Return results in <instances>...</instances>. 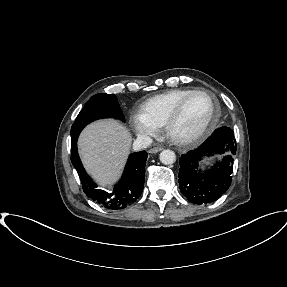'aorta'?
I'll use <instances>...</instances> for the list:
<instances>
[{
	"instance_id": "aorta-1",
	"label": "aorta",
	"mask_w": 287,
	"mask_h": 287,
	"mask_svg": "<svg viewBox=\"0 0 287 287\" xmlns=\"http://www.w3.org/2000/svg\"><path fill=\"white\" fill-rule=\"evenodd\" d=\"M160 161L164 165H171L176 161V155L172 150H163L159 155Z\"/></svg>"
}]
</instances>
